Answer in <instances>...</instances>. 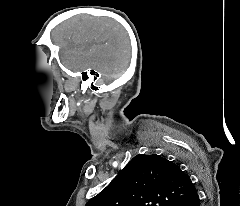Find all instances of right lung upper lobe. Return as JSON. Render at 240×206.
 <instances>
[{
    "label": "right lung upper lobe",
    "instance_id": "right-lung-upper-lobe-1",
    "mask_svg": "<svg viewBox=\"0 0 240 206\" xmlns=\"http://www.w3.org/2000/svg\"><path fill=\"white\" fill-rule=\"evenodd\" d=\"M195 193L178 165L156 154H139L85 206H173Z\"/></svg>",
    "mask_w": 240,
    "mask_h": 206
}]
</instances>
